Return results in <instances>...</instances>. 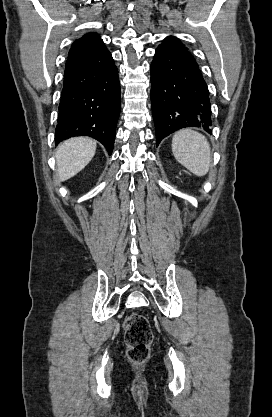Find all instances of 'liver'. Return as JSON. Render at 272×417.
<instances>
[{
	"mask_svg": "<svg viewBox=\"0 0 272 417\" xmlns=\"http://www.w3.org/2000/svg\"><path fill=\"white\" fill-rule=\"evenodd\" d=\"M96 142L87 137H76L61 143L55 153L58 177L66 181L78 174L94 157Z\"/></svg>",
	"mask_w": 272,
	"mask_h": 417,
	"instance_id": "liver-1",
	"label": "liver"
}]
</instances>
